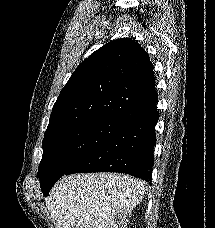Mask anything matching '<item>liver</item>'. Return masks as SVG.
Instances as JSON below:
<instances>
[{
    "mask_svg": "<svg viewBox=\"0 0 215 228\" xmlns=\"http://www.w3.org/2000/svg\"><path fill=\"white\" fill-rule=\"evenodd\" d=\"M145 192L134 176L72 174L56 182L45 204L60 228H127Z\"/></svg>",
    "mask_w": 215,
    "mask_h": 228,
    "instance_id": "liver-1",
    "label": "liver"
}]
</instances>
